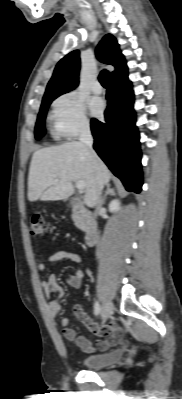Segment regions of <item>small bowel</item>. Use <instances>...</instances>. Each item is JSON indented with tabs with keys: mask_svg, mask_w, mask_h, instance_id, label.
I'll return each instance as SVG.
<instances>
[{
	"mask_svg": "<svg viewBox=\"0 0 182 399\" xmlns=\"http://www.w3.org/2000/svg\"><path fill=\"white\" fill-rule=\"evenodd\" d=\"M63 260H69L76 265V272L74 275L68 277V281L72 286L80 287L85 276V268L80 255L66 250H57L46 258V263H56ZM37 269L41 272L45 271L46 264L38 263ZM41 286L47 299H51L53 294L57 295L56 299L51 300L48 304L49 315L52 318L60 316L62 313L60 300L64 296V290L58 284L56 276L50 274L46 280L42 281ZM74 314L86 325L93 335L100 338L96 343H92L87 337L78 336L76 331L69 327L68 319L63 317L60 320V327L64 338L78 346L84 352L94 353L96 351H105L118 344L121 340L123 329L118 323L112 321L106 325H99L84 312L81 306L74 308Z\"/></svg>",
	"mask_w": 182,
	"mask_h": 399,
	"instance_id": "small-bowel-1",
	"label": "small bowel"
}]
</instances>
